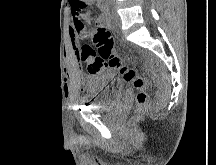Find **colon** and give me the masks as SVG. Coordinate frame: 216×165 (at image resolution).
<instances>
[{"label":"colon","mask_w":216,"mask_h":165,"mask_svg":"<svg viewBox=\"0 0 216 165\" xmlns=\"http://www.w3.org/2000/svg\"><path fill=\"white\" fill-rule=\"evenodd\" d=\"M70 2L74 9L77 5L86 6L85 0H70ZM92 40L97 51L90 45H83L80 49V56L87 63V70L94 74L105 68L118 70L123 79L136 90L137 112H143L148 103L146 79L123 63L115 52L113 36L106 27L97 25L92 33Z\"/></svg>","instance_id":"colon-1"}]
</instances>
